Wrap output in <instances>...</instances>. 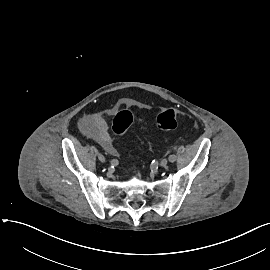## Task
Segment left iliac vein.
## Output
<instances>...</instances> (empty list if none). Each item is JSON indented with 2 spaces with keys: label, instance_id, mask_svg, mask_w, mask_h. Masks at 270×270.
Instances as JSON below:
<instances>
[{
  "label": "left iliac vein",
  "instance_id": "4c4485c4",
  "mask_svg": "<svg viewBox=\"0 0 270 270\" xmlns=\"http://www.w3.org/2000/svg\"><path fill=\"white\" fill-rule=\"evenodd\" d=\"M167 163H168V160H167L166 158H164V159H162V160L160 161V166H161V167H165V166L167 165Z\"/></svg>",
  "mask_w": 270,
  "mask_h": 270
}]
</instances>
